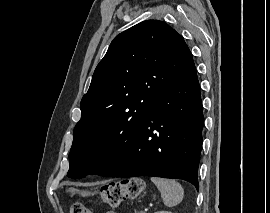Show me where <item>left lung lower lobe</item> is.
<instances>
[{
    "instance_id": "obj_1",
    "label": "left lung lower lobe",
    "mask_w": 270,
    "mask_h": 213,
    "mask_svg": "<svg viewBox=\"0 0 270 213\" xmlns=\"http://www.w3.org/2000/svg\"><path fill=\"white\" fill-rule=\"evenodd\" d=\"M203 123L193 64L176 76L129 139L109 150L90 174L183 179L198 189Z\"/></svg>"
}]
</instances>
